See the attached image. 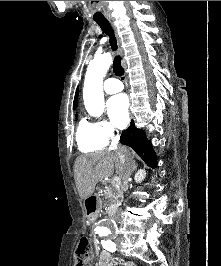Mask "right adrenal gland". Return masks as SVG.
<instances>
[{
    "mask_svg": "<svg viewBox=\"0 0 221 266\" xmlns=\"http://www.w3.org/2000/svg\"><path fill=\"white\" fill-rule=\"evenodd\" d=\"M136 169H137V166H136V165H134L133 171H135Z\"/></svg>",
    "mask_w": 221,
    "mask_h": 266,
    "instance_id": "2a0ac1e0",
    "label": "right adrenal gland"
}]
</instances>
